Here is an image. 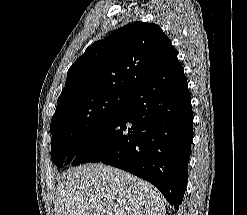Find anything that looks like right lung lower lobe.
Instances as JSON below:
<instances>
[{"mask_svg":"<svg viewBox=\"0 0 247 215\" xmlns=\"http://www.w3.org/2000/svg\"><path fill=\"white\" fill-rule=\"evenodd\" d=\"M193 137L188 84L176 51L109 122L83 136L65 164L103 162L155 185L178 208Z\"/></svg>","mask_w":247,"mask_h":215,"instance_id":"obj_1","label":"right lung lower lobe"}]
</instances>
